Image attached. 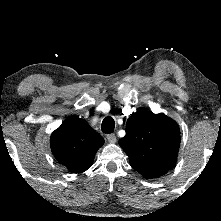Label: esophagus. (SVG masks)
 I'll return each mask as SVG.
<instances>
[{
  "label": "esophagus",
  "instance_id": "obj_1",
  "mask_svg": "<svg viewBox=\"0 0 221 221\" xmlns=\"http://www.w3.org/2000/svg\"><path fill=\"white\" fill-rule=\"evenodd\" d=\"M106 138H107V140H108L110 143H115L116 140H117L115 134H107Z\"/></svg>",
  "mask_w": 221,
  "mask_h": 221
}]
</instances>
